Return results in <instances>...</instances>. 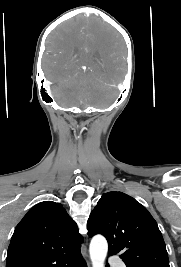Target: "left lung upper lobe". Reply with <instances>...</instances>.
<instances>
[{"label":"left lung upper lobe","instance_id":"1","mask_svg":"<svg viewBox=\"0 0 181 267\" xmlns=\"http://www.w3.org/2000/svg\"><path fill=\"white\" fill-rule=\"evenodd\" d=\"M89 237L102 234L109 254L126 267H170L162 234L149 211L122 192L102 195L87 222Z\"/></svg>","mask_w":181,"mask_h":267}]
</instances>
